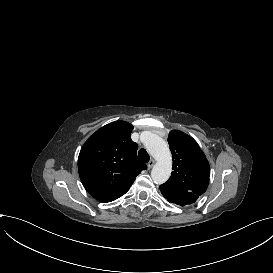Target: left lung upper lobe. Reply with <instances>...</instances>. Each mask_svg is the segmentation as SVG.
Here are the masks:
<instances>
[{
  "label": "left lung upper lobe",
  "mask_w": 273,
  "mask_h": 273,
  "mask_svg": "<svg viewBox=\"0 0 273 273\" xmlns=\"http://www.w3.org/2000/svg\"><path fill=\"white\" fill-rule=\"evenodd\" d=\"M172 152L173 172L160 190L170 194L193 193L202 195L209 183L210 166L197 142L179 130H172L168 135Z\"/></svg>",
  "instance_id": "left-lung-upper-lobe-1"
}]
</instances>
